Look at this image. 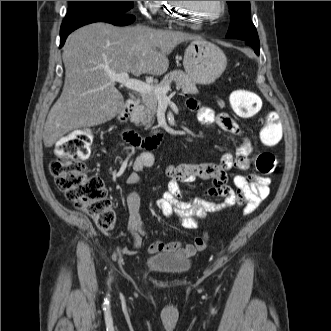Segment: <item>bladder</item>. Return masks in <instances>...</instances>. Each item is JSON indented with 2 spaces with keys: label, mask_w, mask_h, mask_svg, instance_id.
I'll return each instance as SVG.
<instances>
[{
  "label": "bladder",
  "mask_w": 331,
  "mask_h": 331,
  "mask_svg": "<svg viewBox=\"0 0 331 331\" xmlns=\"http://www.w3.org/2000/svg\"><path fill=\"white\" fill-rule=\"evenodd\" d=\"M145 266L153 273L181 275L190 269L191 262L183 256L161 252L150 255L146 259Z\"/></svg>",
  "instance_id": "obj_1"
}]
</instances>
